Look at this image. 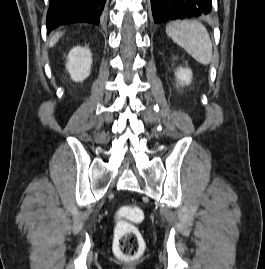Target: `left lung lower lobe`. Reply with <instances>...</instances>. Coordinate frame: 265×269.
Returning a JSON list of instances; mask_svg holds the SVG:
<instances>
[{
    "mask_svg": "<svg viewBox=\"0 0 265 269\" xmlns=\"http://www.w3.org/2000/svg\"><path fill=\"white\" fill-rule=\"evenodd\" d=\"M212 0H151L155 23L177 19L206 18L212 12Z\"/></svg>",
    "mask_w": 265,
    "mask_h": 269,
    "instance_id": "1",
    "label": "left lung lower lobe"
}]
</instances>
